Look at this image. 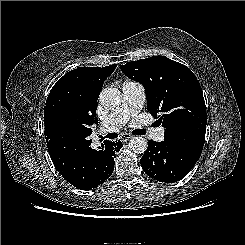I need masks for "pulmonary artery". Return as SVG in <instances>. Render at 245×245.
<instances>
[{"mask_svg":"<svg viewBox=\"0 0 245 245\" xmlns=\"http://www.w3.org/2000/svg\"><path fill=\"white\" fill-rule=\"evenodd\" d=\"M123 99L120 107L111 112L100 124V132H114L120 129L130 117L136 115L144 105L145 92L141 84L125 81L122 85ZM155 141L164 139V129H153L150 134Z\"/></svg>","mask_w":245,"mask_h":245,"instance_id":"obj_1","label":"pulmonary artery"}]
</instances>
